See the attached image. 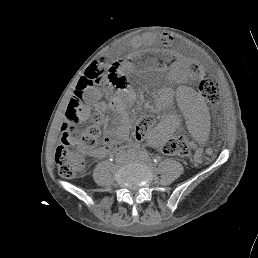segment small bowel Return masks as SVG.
Listing matches in <instances>:
<instances>
[{"label":"small bowel","mask_w":258,"mask_h":258,"mask_svg":"<svg viewBox=\"0 0 258 258\" xmlns=\"http://www.w3.org/2000/svg\"><path fill=\"white\" fill-rule=\"evenodd\" d=\"M142 43V40L141 39H135L131 42L130 46L132 48H136V47H139ZM88 115H89V110L88 109H85L82 111V114H81V117H82V120H86L88 118ZM124 130V129H123ZM124 135L126 136L127 135V132L126 130H124ZM160 136H154V140H159ZM107 153V151L105 149H96L92 152V155L95 156V157H103L105 156Z\"/></svg>","instance_id":"c3829d8e"}]
</instances>
